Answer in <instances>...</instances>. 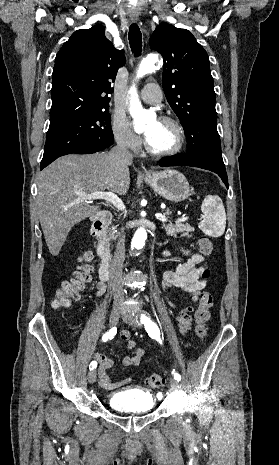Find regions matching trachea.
Here are the masks:
<instances>
[{
  "label": "trachea",
  "instance_id": "trachea-1",
  "mask_svg": "<svg viewBox=\"0 0 279 465\" xmlns=\"http://www.w3.org/2000/svg\"><path fill=\"white\" fill-rule=\"evenodd\" d=\"M128 38L132 52L139 56L142 51V34L137 24L130 25Z\"/></svg>",
  "mask_w": 279,
  "mask_h": 465
}]
</instances>
